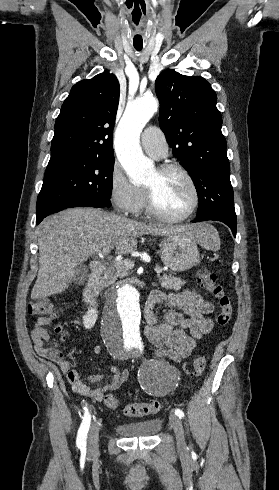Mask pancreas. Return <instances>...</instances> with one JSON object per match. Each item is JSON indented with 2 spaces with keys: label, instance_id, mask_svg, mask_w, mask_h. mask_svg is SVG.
Returning a JSON list of instances; mask_svg holds the SVG:
<instances>
[{
  "label": "pancreas",
  "instance_id": "1",
  "mask_svg": "<svg viewBox=\"0 0 279 490\" xmlns=\"http://www.w3.org/2000/svg\"><path fill=\"white\" fill-rule=\"evenodd\" d=\"M134 268L133 264H119V266H115V268H109L106 270L103 278H101L99 284L100 286H110V284H115L117 278H124V276H128L130 270ZM160 280V284L162 288H166V290H170V288H174V290H179L181 286H183V280L180 278H175V276H158Z\"/></svg>",
  "mask_w": 279,
  "mask_h": 490
}]
</instances>
